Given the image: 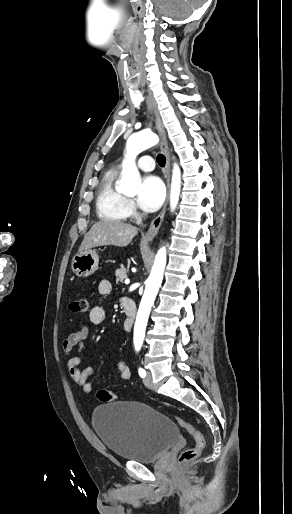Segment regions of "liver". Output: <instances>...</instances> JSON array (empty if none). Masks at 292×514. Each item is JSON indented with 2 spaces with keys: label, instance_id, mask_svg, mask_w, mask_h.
Returning <instances> with one entry per match:
<instances>
[{
  "label": "liver",
  "instance_id": "liver-1",
  "mask_svg": "<svg viewBox=\"0 0 292 514\" xmlns=\"http://www.w3.org/2000/svg\"><path fill=\"white\" fill-rule=\"evenodd\" d=\"M138 234V228L124 224V222H96L91 230L84 236L79 252L97 248V246H128L134 236Z\"/></svg>",
  "mask_w": 292,
  "mask_h": 514
}]
</instances>
